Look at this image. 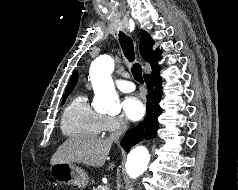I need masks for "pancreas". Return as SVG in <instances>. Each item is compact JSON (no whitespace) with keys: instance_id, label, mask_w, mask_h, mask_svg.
<instances>
[{"instance_id":"1","label":"pancreas","mask_w":238,"mask_h":190,"mask_svg":"<svg viewBox=\"0 0 238 190\" xmlns=\"http://www.w3.org/2000/svg\"><path fill=\"white\" fill-rule=\"evenodd\" d=\"M105 189L106 187L102 185H98L97 188H93V190H105ZM107 190H109V188Z\"/></svg>"}]
</instances>
